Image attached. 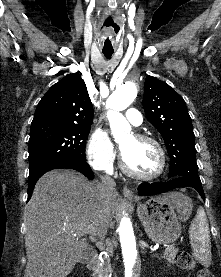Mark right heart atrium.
<instances>
[{"label": "right heart atrium", "mask_w": 221, "mask_h": 277, "mask_svg": "<svg viewBox=\"0 0 221 277\" xmlns=\"http://www.w3.org/2000/svg\"><path fill=\"white\" fill-rule=\"evenodd\" d=\"M86 156L94 170L103 173L112 171L116 151L112 140L105 130L96 129L91 133L86 145Z\"/></svg>", "instance_id": "obj_1"}]
</instances>
